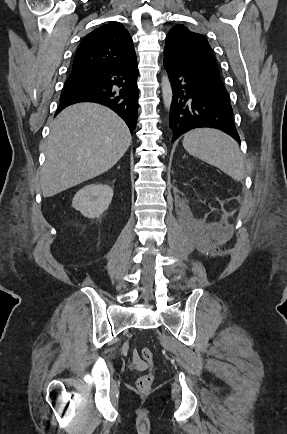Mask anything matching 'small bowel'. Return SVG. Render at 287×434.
Wrapping results in <instances>:
<instances>
[{"label": "small bowel", "instance_id": "small-bowel-1", "mask_svg": "<svg viewBox=\"0 0 287 434\" xmlns=\"http://www.w3.org/2000/svg\"><path fill=\"white\" fill-rule=\"evenodd\" d=\"M134 363H135V366L140 370H143L146 368L145 363L141 362L137 357H135Z\"/></svg>", "mask_w": 287, "mask_h": 434}]
</instances>
